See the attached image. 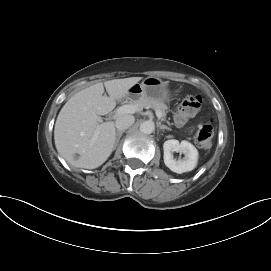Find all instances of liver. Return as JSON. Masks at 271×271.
Returning a JSON list of instances; mask_svg holds the SVG:
<instances>
[{"label":"liver","instance_id":"obj_1","mask_svg":"<svg viewBox=\"0 0 271 271\" xmlns=\"http://www.w3.org/2000/svg\"><path fill=\"white\" fill-rule=\"evenodd\" d=\"M142 77L114 79L94 84L74 94L60 110L55 127V146L69 164L85 169L101 166L111 155L116 130L113 121L102 122L101 115L111 112L116 100L126 97ZM104 87L109 96L103 95ZM97 137H94L95 133ZM75 154L79 155L75 159Z\"/></svg>","mask_w":271,"mask_h":271}]
</instances>
